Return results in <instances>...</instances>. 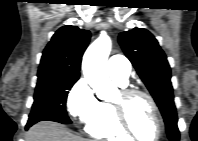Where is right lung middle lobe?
<instances>
[{
  "instance_id": "dd1d6c3e",
  "label": "right lung middle lobe",
  "mask_w": 198,
  "mask_h": 141,
  "mask_svg": "<svg viewBox=\"0 0 198 141\" xmlns=\"http://www.w3.org/2000/svg\"><path fill=\"white\" fill-rule=\"evenodd\" d=\"M78 79V76H38L34 103L26 126L30 127L42 120L70 124L66 112V99L68 90Z\"/></svg>"
}]
</instances>
